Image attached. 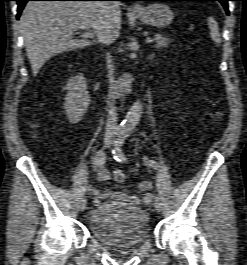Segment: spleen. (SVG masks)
I'll return each instance as SVG.
<instances>
[{"instance_id": "obj_1", "label": "spleen", "mask_w": 247, "mask_h": 265, "mask_svg": "<svg viewBox=\"0 0 247 265\" xmlns=\"http://www.w3.org/2000/svg\"><path fill=\"white\" fill-rule=\"evenodd\" d=\"M207 21H208V27L210 29V35H211L212 40L216 44H220L221 43V37H220L217 22L215 21V19L213 17H209Z\"/></svg>"}]
</instances>
